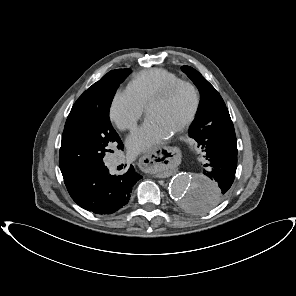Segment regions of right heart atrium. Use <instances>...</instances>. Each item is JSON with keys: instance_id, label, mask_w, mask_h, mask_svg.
I'll use <instances>...</instances> for the list:
<instances>
[{"instance_id": "right-heart-atrium-1", "label": "right heart atrium", "mask_w": 296, "mask_h": 296, "mask_svg": "<svg viewBox=\"0 0 296 296\" xmlns=\"http://www.w3.org/2000/svg\"><path fill=\"white\" fill-rule=\"evenodd\" d=\"M143 113L144 107L127 91H118L109 109L111 121L123 131L134 129Z\"/></svg>"}]
</instances>
